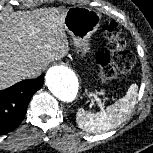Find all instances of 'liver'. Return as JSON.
I'll return each mask as SVG.
<instances>
[{"label": "liver", "mask_w": 153, "mask_h": 153, "mask_svg": "<svg viewBox=\"0 0 153 153\" xmlns=\"http://www.w3.org/2000/svg\"><path fill=\"white\" fill-rule=\"evenodd\" d=\"M44 20L34 13H15L0 19V87L19 80L28 65L47 63V54L41 46L43 35L39 28L40 22ZM46 25L52 26L56 34L46 48L55 49L59 56H64L68 44L62 29L63 18H49Z\"/></svg>", "instance_id": "1"}]
</instances>
